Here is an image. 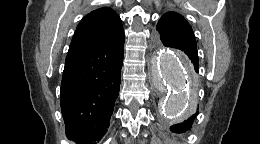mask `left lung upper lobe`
<instances>
[{"mask_svg": "<svg viewBox=\"0 0 260 144\" xmlns=\"http://www.w3.org/2000/svg\"><path fill=\"white\" fill-rule=\"evenodd\" d=\"M156 30L163 43L165 37L195 41V35L189 23L176 12H167L160 18ZM198 72V70H197Z\"/></svg>", "mask_w": 260, "mask_h": 144, "instance_id": "5c2ea615", "label": "left lung upper lobe"}]
</instances>
